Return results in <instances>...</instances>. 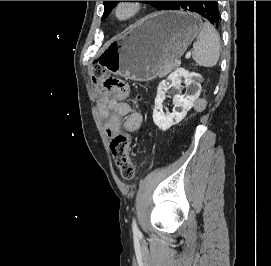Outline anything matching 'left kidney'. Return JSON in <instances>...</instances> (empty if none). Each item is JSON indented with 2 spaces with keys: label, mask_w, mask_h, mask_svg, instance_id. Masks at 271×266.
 <instances>
[{
  "label": "left kidney",
  "mask_w": 271,
  "mask_h": 266,
  "mask_svg": "<svg viewBox=\"0 0 271 266\" xmlns=\"http://www.w3.org/2000/svg\"><path fill=\"white\" fill-rule=\"evenodd\" d=\"M197 77L198 74L194 72H188L183 68H179L168 76V80L171 82L169 87H175L179 90V94L173 97V112L164 113L163 112V101L165 99L166 89H158L157 96L155 98V107L153 110V121L155 125L159 127L162 131H166L171 126L182 121L187 112L193 107L194 101L199 95V91L193 95H181V78L184 77L186 80V87L189 88L194 81L192 77ZM197 86L200 85L197 83ZM178 109V110H176Z\"/></svg>",
  "instance_id": "obj_1"
}]
</instances>
